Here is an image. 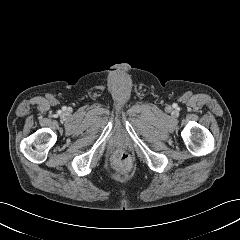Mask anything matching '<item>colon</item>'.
Wrapping results in <instances>:
<instances>
[{
  "label": "colon",
  "instance_id": "5ec220e1",
  "mask_svg": "<svg viewBox=\"0 0 240 240\" xmlns=\"http://www.w3.org/2000/svg\"><path fill=\"white\" fill-rule=\"evenodd\" d=\"M113 164L119 170L128 172L132 166V160L128 153L124 151H117L113 157Z\"/></svg>",
  "mask_w": 240,
  "mask_h": 240
}]
</instances>
